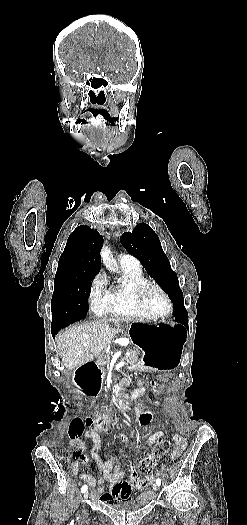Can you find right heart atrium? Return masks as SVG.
I'll list each match as a JSON object with an SVG mask.
<instances>
[{"instance_id": "d8ad5b80", "label": "right heart atrium", "mask_w": 247, "mask_h": 525, "mask_svg": "<svg viewBox=\"0 0 247 525\" xmlns=\"http://www.w3.org/2000/svg\"><path fill=\"white\" fill-rule=\"evenodd\" d=\"M88 304L91 312L101 315L107 305L112 301V293L106 288V277L98 272L88 285Z\"/></svg>"}]
</instances>
